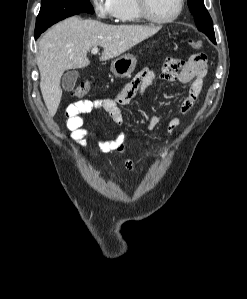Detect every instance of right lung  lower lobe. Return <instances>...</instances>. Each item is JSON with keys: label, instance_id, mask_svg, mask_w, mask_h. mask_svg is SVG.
I'll return each mask as SVG.
<instances>
[{"label": "right lung lower lobe", "instance_id": "1", "mask_svg": "<svg viewBox=\"0 0 247 299\" xmlns=\"http://www.w3.org/2000/svg\"><path fill=\"white\" fill-rule=\"evenodd\" d=\"M39 37V36H38ZM37 36H35V39H37L38 38Z\"/></svg>", "mask_w": 247, "mask_h": 299}]
</instances>
